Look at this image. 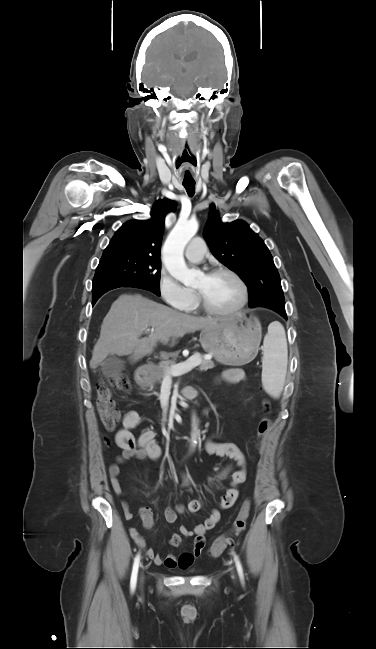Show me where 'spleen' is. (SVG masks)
<instances>
[{"mask_svg":"<svg viewBox=\"0 0 376 649\" xmlns=\"http://www.w3.org/2000/svg\"><path fill=\"white\" fill-rule=\"evenodd\" d=\"M262 349V384L269 395L278 398L284 387L288 362L285 331L279 322L269 326Z\"/></svg>","mask_w":376,"mask_h":649,"instance_id":"spleen-1","label":"spleen"}]
</instances>
